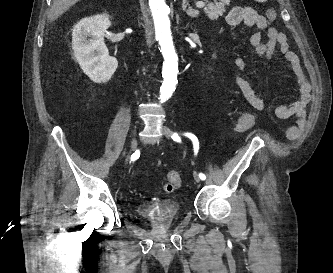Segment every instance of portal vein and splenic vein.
<instances>
[{"instance_id": "portal-vein-and-splenic-vein-1", "label": "portal vein and splenic vein", "mask_w": 333, "mask_h": 273, "mask_svg": "<svg viewBox=\"0 0 333 273\" xmlns=\"http://www.w3.org/2000/svg\"><path fill=\"white\" fill-rule=\"evenodd\" d=\"M196 6H197L198 8H202V7L205 6V3L202 2V1H199V2L196 3Z\"/></svg>"}]
</instances>
